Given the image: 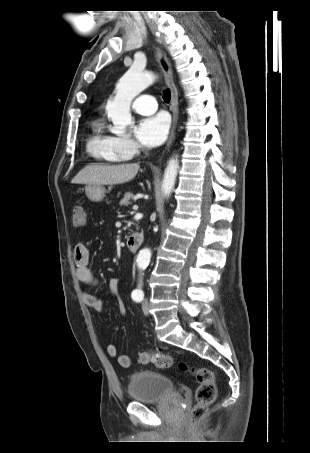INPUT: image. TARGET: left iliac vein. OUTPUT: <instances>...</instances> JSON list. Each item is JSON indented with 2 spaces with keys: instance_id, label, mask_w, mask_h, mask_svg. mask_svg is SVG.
Here are the masks:
<instances>
[{
  "instance_id": "1",
  "label": "left iliac vein",
  "mask_w": 310,
  "mask_h": 453,
  "mask_svg": "<svg viewBox=\"0 0 310 453\" xmlns=\"http://www.w3.org/2000/svg\"><path fill=\"white\" fill-rule=\"evenodd\" d=\"M142 311L145 315L149 314V302L146 298L142 301Z\"/></svg>"
}]
</instances>
